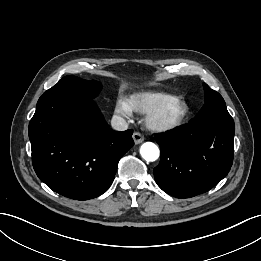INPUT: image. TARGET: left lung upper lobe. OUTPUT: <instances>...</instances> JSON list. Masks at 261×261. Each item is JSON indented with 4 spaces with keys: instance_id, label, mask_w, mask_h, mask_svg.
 I'll list each match as a JSON object with an SVG mask.
<instances>
[{
    "instance_id": "obj_1",
    "label": "left lung upper lobe",
    "mask_w": 261,
    "mask_h": 261,
    "mask_svg": "<svg viewBox=\"0 0 261 261\" xmlns=\"http://www.w3.org/2000/svg\"><path fill=\"white\" fill-rule=\"evenodd\" d=\"M205 104L192 121L233 120L222 96L204 83Z\"/></svg>"
}]
</instances>
